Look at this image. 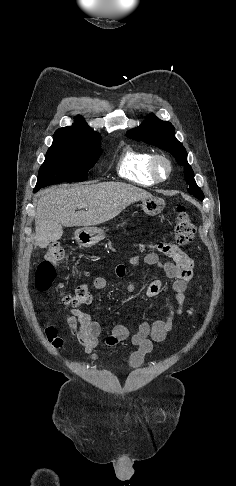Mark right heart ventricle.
<instances>
[{
  "instance_id": "1",
  "label": "right heart ventricle",
  "mask_w": 236,
  "mask_h": 486,
  "mask_svg": "<svg viewBox=\"0 0 236 486\" xmlns=\"http://www.w3.org/2000/svg\"><path fill=\"white\" fill-rule=\"evenodd\" d=\"M152 155L150 151L145 149L126 148L119 160L118 171L120 176L142 186L154 185L156 181L151 177L148 170Z\"/></svg>"
}]
</instances>
